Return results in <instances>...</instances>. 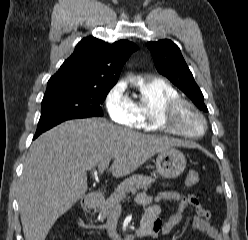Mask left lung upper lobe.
Instances as JSON below:
<instances>
[{
  "instance_id": "5c2ea615",
  "label": "left lung upper lobe",
  "mask_w": 248,
  "mask_h": 240,
  "mask_svg": "<svg viewBox=\"0 0 248 240\" xmlns=\"http://www.w3.org/2000/svg\"><path fill=\"white\" fill-rule=\"evenodd\" d=\"M158 72L180 88L201 110L208 112L204 97L189 70L180 49L171 40L148 42Z\"/></svg>"
}]
</instances>
